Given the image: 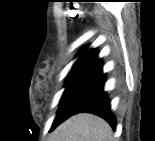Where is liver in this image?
I'll use <instances>...</instances> for the list:
<instances>
[{"label": "liver", "mask_w": 155, "mask_h": 141, "mask_svg": "<svg viewBox=\"0 0 155 141\" xmlns=\"http://www.w3.org/2000/svg\"><path fill=\"white\" fill-rule=\"evenodd\" d=\"M51 141H114L110 125L102 118L80 113L60 124Z\"/></svg>", "instance_id": "1"}]
</instances>
